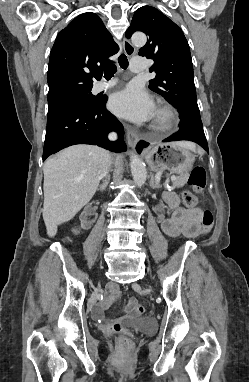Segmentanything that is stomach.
Here are the masks:
<instances>
[{"instance_id":"obj_1","label":"stomach","mask_w":249,"mask_h":382,"mask_svg":"<svg viewBox=\"0 0 249 382\" xmlns=\"http://www.w3.org/2000/svg\"><path fill=\"white\" fill-rule=\"evenodd\" d=\"M145 159L153 171H165L185 175L193 167L195 156L179 142L162 143L145 153Z\"/></svg>"}]
</instances>
